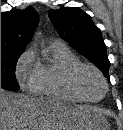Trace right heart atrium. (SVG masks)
Returning a JSON list of instances; mask_svg holds the SVG:
<instances>
[{"label": "right heart atrium", "mask_w": 123, "mask_h": 130, "mask_svg": "<svg viewBox=\"0 0 123 130\" xmlns=\"http://www.w3.org/2000/svg\"><path fill=\"white\" fill-rule=\"evenodd\" d=\"M37 75V60L33 49L26 50L16 65V76L21 86L31 87Z\"/></svg>", "instance_id": "right-heart-atrium-1"}]
</instances>
